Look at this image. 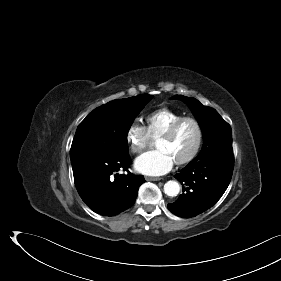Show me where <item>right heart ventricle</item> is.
<instances>
[{"label": "right heart ventricle", "instance_id": "obj_1", "mask_svg": "<svg viewBox=\"0 0 281 281\" xmlns=\"http://www.w3.org/2000/svg\"><path fill=\"white\" fill-rule=\"evenodd\" d=\"M182 114L169 108H160L146 117V128L152 139H158Z\"/></svg>", "mask_w": 281, "mask_h": 281}]
</instances>
